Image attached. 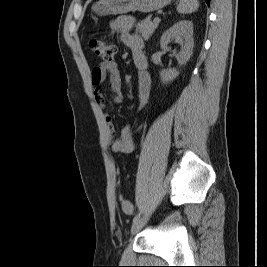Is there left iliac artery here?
Wrapping results in <instances>:
<instances>
[{
    "label": "left iliac artery",
    "instance_id": "obj_1",
    "mask_svg": "<svg viewBox=\"0 0 267 267\" xmlns=\"http://www.w3.org/2000/svg\"><path fill=\"white\" fill-rule=\"evenodd\" d=\"M140 215L141 213L135 215V217L133 218V223H135L140 218Z\"/></svg>",
    "mask_w": 267,
    "mask_h": 267
}]
</instances>
